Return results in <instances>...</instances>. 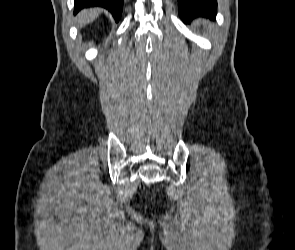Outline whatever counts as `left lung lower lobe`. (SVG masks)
<instances>
[{"mask_svg": "<svg viewBox=\"0 0 295 250\" xmlns=\"http://www.w3.org/2000/svg\"><path fill=\"white\" fill-rule=\"evenodd\" d=\"M179 14L185 22L197 16L214 18L216 15V0H178Z\"/></svg>", "mask_w": 295, "mask_h": 250, "instance_id": "obj_1", "label": "left lung lower lobe"}]
</instances>
